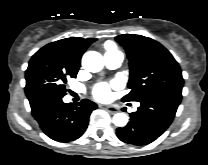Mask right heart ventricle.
<instances>
[{"label":"right heart ventricle","instance_id":"e07e8e85","mask_svg":"<svg viewBox=\"0 0 208 165\" xmlns=\"http://www.w3.org/2000/svg\"><path fill=\"white\" fill-rule=\"evenodd\" d=\"M106 48H107V52H119L116 49V47L113 44H111V43L107 44Z\"/></svg>","mask_w":208,"mask_h":165}]
</instances>
